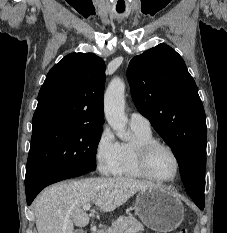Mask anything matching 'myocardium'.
<instances>
[{"instance_id": "obj_1", "label": "myocardium", "mask_w": 227, "mask_h": 233, "mask_svg": "<svg viewBox=\"0 0 227 233\" xmlns=\"http://www.w3.org/2000/svg\"><path fill=\"white\" fill-rule=\"evenodd\" d=\"M158 149L167 150L168 152H170V154L173 156L175 160V174L171 178L168 179L159 178L155 176L151 171L150 158L152 154ZM135 155H136L137 166L140 172L144 175V177L152 181L160 182V183H169L176 180L180 174V166H181L180 159L177 153L175 152V150L168 144H165L157 140L141 143L136 147Z\"/></svg>"}]
</instances>
